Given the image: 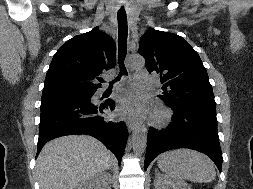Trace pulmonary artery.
<instances>
[{
    "mask_svg": "<svg viewBox=\"0 0 253 189\" xmlns=\"http://www.w3.org/2000/svg\"><path fill=\"white\" fill-rule=\"evenodd\" d=\"M135 80L137 82L138 85L140 86H149L151 83V77L150 75H148L147 73H141V74H137L135 76ZM106 90V87H103L99 93H103Z\"/></svg>",
    "mask_w": 253,
    "mask_h": 189,
    "instance_id": "1",
    "label": "pulmonary artery"
}]
</instances>
